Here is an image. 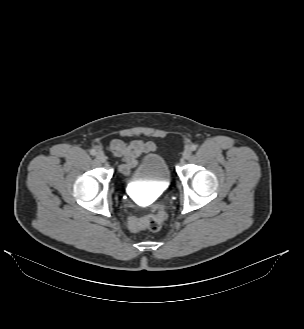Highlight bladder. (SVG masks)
<instances>
[{
  "label": "bladder",
  "instance_id": "31cf9c89",
  "mask_svg": "<svg viewBox=\"0 0 304 329\" xmlns=\"http://www.w3.org/2000/svg\"><path fill=\"white\" fill-rule=\"evenodd\" d=\"M171 180V172L165 159L155 153L143 156L132 170L129 186L138 182H154L167 184Z\"/></svg>",
  "mask_w": 304,
  "mask_h": 329
}]
</instances>
